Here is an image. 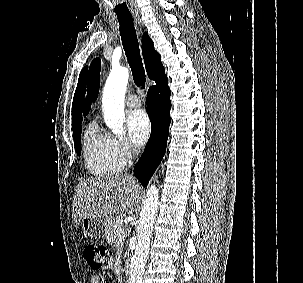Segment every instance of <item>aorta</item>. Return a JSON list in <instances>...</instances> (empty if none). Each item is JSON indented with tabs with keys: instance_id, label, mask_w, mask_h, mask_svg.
Segmentation results:
<instances>
[{
	"instance_id": "obj_1",
	"label": "aorta",
	"mask_w": 303,
	"mask_h": 283,
	"mask_svg": "<svg viewBox=\"0 0 303 283\" xmlns=\"http://www.w3.org/2000/svg\"><path fill=\"white\" fill-rule=\"evenodd\" d=\"M129 79V71L125 67L112 68L106 81L102 107L104 121L115 134L123 133L124 97ZM159 189L155 184L148 186L143 201L140 220L137 227V245L131 259L128 283H143L144 268L149 256L151 235L154 230L158 209Z\"/></svg>"
}]
</instances>
